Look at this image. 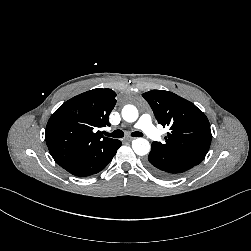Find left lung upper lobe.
<instances>
[{"mask_svg": "<svg viewBox=\"0 0 251 251\" xmlns=\"http://www.w3.org/2000/svg\"><path fill=\"white\" fill-rule=\"evenodd\" d=\"M142 96L158 123L170 127L165 142H153L152 146L199 164L211 143L210 124L205 114L190 101L169 91L152 90Z\"/></svg>", "mask_w": 251, "mask_h": 251, "instance_id": "obj_1", "label": "left lung upper lobe"}]
</instances>
